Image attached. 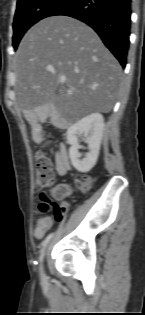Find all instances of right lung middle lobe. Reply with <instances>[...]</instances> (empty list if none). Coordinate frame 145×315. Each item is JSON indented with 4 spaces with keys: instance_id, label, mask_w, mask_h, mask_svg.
<instances>
[{
    "instance_id": "right-lung-middle-lobe-1",
    "label": "right lung middle lobe",
    "mask_w": 145,
    "mask_h": 315,
    "mask_svg": "<svg viewBox=\"0 0 145 315\" xmlns=\"http://www.w3.org/2000/svg\"><path fill=\"white\" fill-rule=\"evenodd\" d=\"M68 0H18L13 22V47L16 49L25 32L43 18L51 16Z\"/></svg>"
}]
</instances>
